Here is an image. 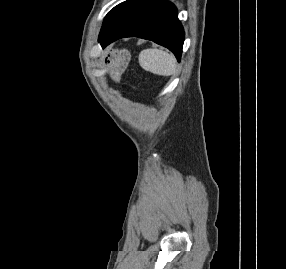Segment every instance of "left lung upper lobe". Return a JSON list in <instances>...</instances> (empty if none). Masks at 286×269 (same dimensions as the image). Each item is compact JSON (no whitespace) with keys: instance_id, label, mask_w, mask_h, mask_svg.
<instances>
[{"instance_id":"1","label":"left lung upper lobe","mask_w":286,"mask_h":269,"mask_svg":"<svg viewBox=\"0 0 286 269\" xmlns=\"http://www.w3.org/2000/svg\"><path fill=\"white\" fill-rule=\"evenodd\" d=\"M143 0H127L115 6L105 17L101 30L114 27L124 16L136 8Z\"/></svg>"}]
</instances>
